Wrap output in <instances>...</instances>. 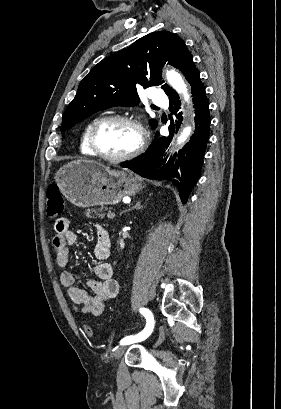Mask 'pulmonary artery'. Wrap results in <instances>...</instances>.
<instances>
[{
    "mask_svg": "<svg viewBox=\"0 0 281 409\" xmlns=\"http://www.w3.org/2000/svg\"><path fill=\"white\" fill-rule=\"evenodd\" d=\"M152 97L154 98L155 103H167L168 102V95L162 94V89L160 87H156L152 92Z\"/></svg>",
    "mask_w": 281,
    "mask_h": 409,
    "instance_id": "1",
    "label": "pulmonary artery"
}]
</instances>
